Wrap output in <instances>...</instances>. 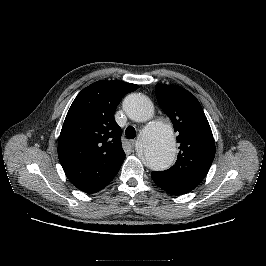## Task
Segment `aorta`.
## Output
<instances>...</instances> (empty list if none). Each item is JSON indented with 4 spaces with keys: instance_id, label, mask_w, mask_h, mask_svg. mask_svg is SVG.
I'll list each match as a JSON object with an SVG mask.
<instances>
[{
    "instance_id": "obj_1",
    "label": "aorta",
    "mask_w": 266,
    "mask_h": 266,
    "mask_svg": "<svg viewBox=\"0 0 266 266\" xmlns=\"http://www.w3.org/2000/svg\"><path fill=\"white\" fill-rule=\"evenodd\" d=\"M128 117L135 122H146L154 112L151 101L144 95L131 94L123 103ZM141 156L146 165L155 171L169 168L176 156V142L169 124L153 122L141 132Z\"/></svg>"
}]
</instances>
